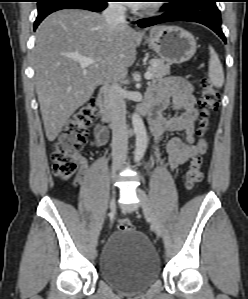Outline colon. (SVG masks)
Masks as SVG:
<instances>
[{"label": "colon", "mask_w": 248, "mask_h": 299, "mask_svg": "<svg viewBox=\"0 0 248 299\" xmlns=\"http://www.w3.org/2000/svg\"><path fill=\"white\" fill-rule=\"evenodd\" d=\"M198 105L201 110L200 131L208 123V116L215 111L219 105V95L216 88L207 76L201 80L200 96ZM96 116V104L94 100H89L81 105L73 116L65 123L61 134L53 145L52 162L54 174L64 180L72 179L78 170V159L80 150L87 138V127ZM202 158L195 156L185 173V186L191 190L202 180ZM121 231L133 230L132 222L127 218H122L118 222Z\"/></svg>", "instance_id": "5ec220e1"}]
</instances>
